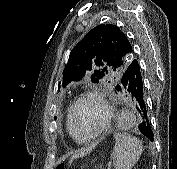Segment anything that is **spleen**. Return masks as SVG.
<instances>
[{
    "mask_svg": "<svg viewBox=\"0 0 177 169\" xmlns=\"http://www.w3.org/2000/svg\"><path fill=\"white\" fill-rule=\"evenodd\" d=\"M114 138L116 142L111 158L115 169H131L142 154V142L128 133H115Z\"/></svg>",
    "mask_w": 177,
    "mask_h": 169,
    "instance_id": "3e777b00",
    "label": "spleen"
}]
</instances>
